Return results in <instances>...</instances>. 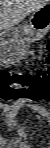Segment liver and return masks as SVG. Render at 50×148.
I'll use <instances>...</instances> for the list:
<instances>
[{"mask_svg":"<svg viewBox=\"0 0 50 148\" xmlns=\"http://www.w3.org/2000/svg\"><path fill=\"white\" fill-rule=\"evenodd\" d=\"M49 4V0H1L0 27L7 30L30 13Z\"/></svg>","mask_w":50,"mask_h":148,"instance_id":"obj_1","label":"liver"}]
</instances>
